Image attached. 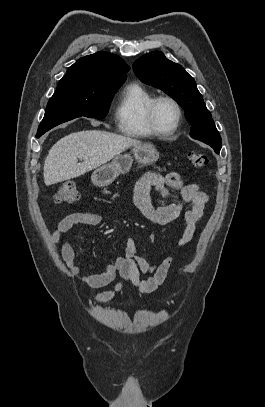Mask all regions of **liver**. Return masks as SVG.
<instances>
[{
	"mask_svg": "<svg viewBox=\"0 0 265 407\" xmlns=\"http://www.w3.org/2000/svg\"><path fill=\"white\" fill-rule=\"evenodd\" d=\"M140 144L136 139L100 130L66 135L52 146L45 159L44 183L49 186L79 177ZM78 158L83 162L78 163Z\"/></svg>",
	"mask_w": 265,
	"mask_h": 407,
	"instance_id": "6515ba94",
	"label": "liver"
}]
</instances>
